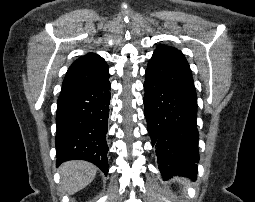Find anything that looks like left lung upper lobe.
Masks as SVG:
<instances>
[{
    "label": "left lung upper lobe",
    "instance_id": "obj_1",
    "mask_svg": "<svg viewBox=\"0 0 255 202\" xmlns=\"http://www.w3.org/2000/svg\"><path fill=\"white\" fill-rule=\"evenodd\" d=\"M145 73L168 85L195 91L189 64L176 48L159 45Z\"/></svg>",
    "mask_w": 255,
    "mask_h": 202
}]
</instances>
